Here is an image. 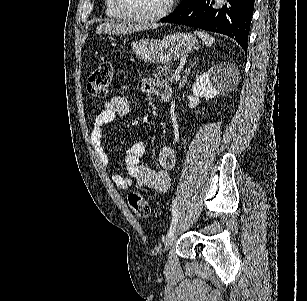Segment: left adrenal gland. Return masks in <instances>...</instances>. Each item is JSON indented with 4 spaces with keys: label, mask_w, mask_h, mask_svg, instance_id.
<instances>
[{
    "label": "left adrenal gland",
    "mask_w": 307,
    "mask_h": 301,
    "mask_svg": "<svg viewBox=\"0 0 307 301\" xmlns=\"http://www.w3.org/2000/svg\"><path fill=\"white\" fill-rule=\"evenodd\" d=\"M195 64H196V62H193V64H191V66H189V68H186L185 74H184V76H182V80H181V82L179 84V88H182V86H184V84H185V82L187 80V74H189L191 68H193V66H195Z\"/></svg>",
    "instance_id": "left-adrenal-gland-1"
}]
</instances>
